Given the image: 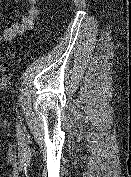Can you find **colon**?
<instances>
[{
  "instance_id": "colon-1",
  "label": "colon",
  "mask_w": 131,
  "mask_h": 177,
  "mask_svg": "<svg viewBox=\"0 0 131 177\" xmlns=\"http://www.w3.org/2000/svg\"><path fill=\"white\" fill-rule=\"evenodd\" d=\"M5 64L4 63H0V73L2 72V71H4V69H5Z\"/></svg>"
}]
</instances>
